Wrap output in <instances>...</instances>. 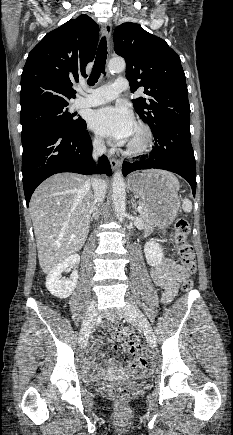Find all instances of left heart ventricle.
Returning <instances> with one entry per match:
<instances>
[{
	"label": "left heart ventricle",
	"mask_w": 233,
	"mask_h": 435,
	"mask_svg": "<svg viewBox=\"0 0 233 435\" xmlns=\"http://www.w3.org/2000/svg\"><path fill=\"white\" fill-rule=\"evenodd\" d=\"M142 139L141 132L134 127L130 137L128 138V142L130 143H138Z\"/></svg>",
	"instance_id": "b2bd125f"
}]
</instances>
